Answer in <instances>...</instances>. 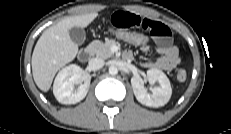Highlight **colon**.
<instances>
[{"instance_id": "obj_1", "label": "colon", "mask_w": 231, "mask_h": 134, "mask_svg": "<svg viewBox=\"0 0 231 134\" xmlns=\"http://www.w3.org/2000/svg\"><path fill=\"white\" fill-rule=\"evenodd\" d=\"M110 34L126 44L138 46L140 48L148 46L149 43V37L146 34L137 31L113 28L110 30ZM176 77L178 81L183 82L187 78V73L184 69H178Z\"/></svg>"}]
</instances>
